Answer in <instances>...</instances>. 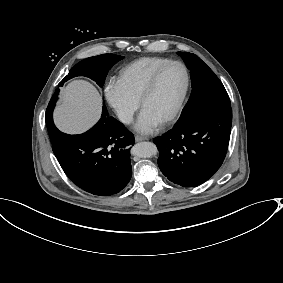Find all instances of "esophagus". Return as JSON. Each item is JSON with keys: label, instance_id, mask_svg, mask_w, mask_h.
I'll use <instances>...</instances> for the list:
<instances>
[{"label": "esophagus", "instance_id": "1", "mask_svg": "<svg viewBox=\"0 0 283 283\" xmlns=\"http://www.w3.org/2000/svg\"><path fill=\"white\" fill-rule=\"evenodd\" d=\"M135 140H136V142H140V141H146V140H148V138L143 137L141 135H136Z\"/></svg>", "mask_w": 283, "mask_h": 283}]
</instances>
